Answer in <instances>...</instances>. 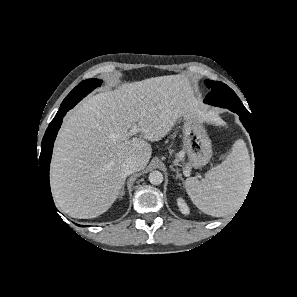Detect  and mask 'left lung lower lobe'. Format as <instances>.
Masks as SVG:
<instances>
[{"label":"left lung lower lobe","instance_id":"0a47b994","mask_svg":"<svg viewBox=\"0 0 297 297\" xmlns=\"http://www.w3.org/2000/svg\"><path fill=\"white\" fill-rule=\"evenodd\" d=\"M240 116V120L243 123L244 127L247 129V131L250 133V137L252 140V144L254 147V153H255V170L257 169L258 166V141L256 139V134H255V128H254V122L251 114H244L240 112H236Z\"/></svg>","mask_w":297,"mask_h":297}]
</instances>
